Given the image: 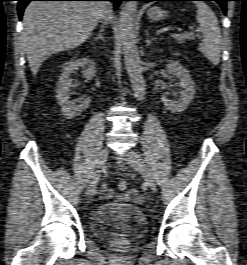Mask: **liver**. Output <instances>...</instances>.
Here are the masks:
<instances>
[{
	"label": "liver",
	"mask_w": 247,
	"mask_h": 265,
	"mask_svg": "<svg viewBox=\"0 0 247 265\" xmlns=\"http://www.w3.org/2000/svg\"><path fill=\"white\" fill-rule=\"evenodd\" d=\"M104 11L103 2H31L23 15L22 41L32 74L51 55L84 43Z\"/></svg>",
	"instance_id": "liver-1"
}]
</instances>
